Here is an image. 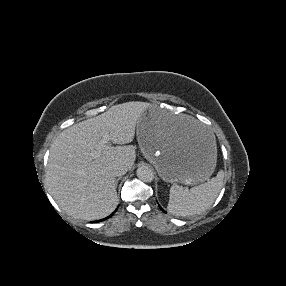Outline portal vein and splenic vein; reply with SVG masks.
Segmentation results:
<instances>
[{
	"label": "portal vein and splenic vein",
	"instance_id": "1",
	"mask_svg": "<svg viewBox=\"0 0 286 286\" xmlns=\"http://www.w3.org/2000/svg\"><path fill=\"white\" fill-rule=\"evenodd\" d=\"M110 140H111V136L107 132L102 133V139H101V141L99 143V150L93 151L90 154L91 157L93 159L98 158L100 156L101 149L104 148Z\"/></svg>",
	"mask_w": 286,
	"mask_h": 286
}]
</instances>
